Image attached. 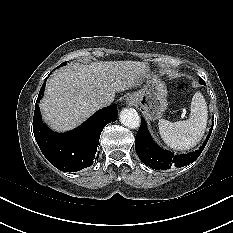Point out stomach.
<instances>
[{
	"mask_svg": "<svg viewBox=\"0 0 233 233\" xmlns=\"http://www.w3.org/2000/svg\"><path fill=\"white\" fill-rule=\"evenodd\" d=\"M150 120L160 119L167 109V88L156 76L149 75L143 89L130 95Z\"/></svg>",
	"mask_w": 233,
	"mask_h": 233,
	"instance_id": "stomach-1",
	"label": "stomach"
}]
</instances>
